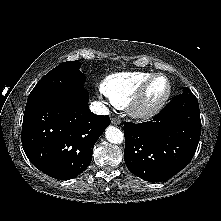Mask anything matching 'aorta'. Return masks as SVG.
Here are the masks:
<instances>
[{
  "instance_id": "762f6f07",
  "label": "aorta",
  "mask_w": 221,
  "mask_h": 221,
  "mask_svg": "<svg viewBox=\"0 0 221 221\" xmlns=\"http://www.w3.org/2000/svg\"><path fill=\"white\" fill-rule=\"evenodd\" d=\"M105 136L112 144H121L124 141V134L115 126H108L105 130Z\"/></svg>"
}]
</instances>
